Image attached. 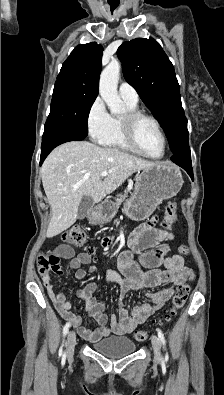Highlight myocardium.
I'll list each match as a JSON object with an SVG mask.
<instances>
[{
	"label": "myocardium",
	"mask_w": 224,
	"mask_h": 395,
	"mask_svg": "<svg viewBox=\"0 0 224 395\" xmlns=\"http://www.w3.org/2000/svg\"><path fill=\"white\" fill-rule=\"evenodd\" d=\"M149 120L151 121L155 127L157 128L159 134L162 137L163 140V153L160 156H153L149 153H147L139 144L138 139H137V126L141 120ZM121 124H122V131L125 140L127 143L131 146L133 150H135L137 153L151 158L155 160H159L165 157L166 151H167V137L165 135V132L163 131V128L160 124V122L152 115L145 113L140 110H132V111H127L122 117H121Z\"/></svg>",
	"instance_id": "myocardium-1"
}]
</instances>
